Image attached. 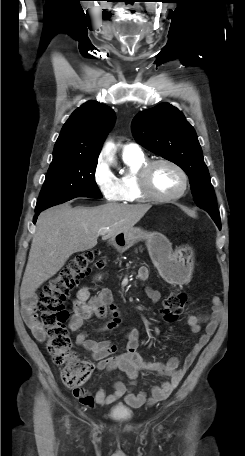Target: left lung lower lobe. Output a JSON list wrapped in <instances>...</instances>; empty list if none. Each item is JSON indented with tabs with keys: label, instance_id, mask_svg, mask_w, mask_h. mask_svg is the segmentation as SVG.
I'll list each match as a JSON object with an SVG mask.
<instances>
[{
	"label": "left lung lower lobe",
	"instance_id": "left-lung-lower-lobe-1",
	"mask_svg": "<svg viewBox=\"0 0 245 456\" xmlns=\"http://www.w3.org/2000/svg\"><path fill=\"white\" fill-rule=\"evenodd\" d=\"M215 223L217 224L218 228L221 229V222L215 221Z\"/></svg>",
	"mask_w": 245,
	"mask_h": 456
}]
</instances>
